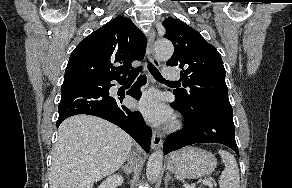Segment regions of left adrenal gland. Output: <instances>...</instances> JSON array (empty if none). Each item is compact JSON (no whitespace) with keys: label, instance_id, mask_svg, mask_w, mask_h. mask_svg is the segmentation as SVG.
I'll use <instances>...</instances> for the list:
<instances>
[{"label":"left adrenal gland","instance_id":"left-adrenal-gland-1","mask_svg":"<svg viewBox=\"0 0 292 188\" xmlns=\"http://www.w3.org/2000/svg\"><path fill=\"white\" fill-rule=\"evenodd\" d=\"M170 179H172V180H173V178L171 177L170 173H169V172H167V173H166V177H165V185H167V183H168V180H170Z\"/></svg>","mask_w":292,"mask_h":188}]
</instances>
